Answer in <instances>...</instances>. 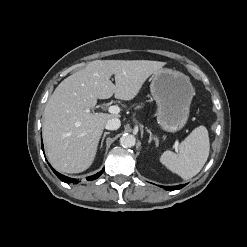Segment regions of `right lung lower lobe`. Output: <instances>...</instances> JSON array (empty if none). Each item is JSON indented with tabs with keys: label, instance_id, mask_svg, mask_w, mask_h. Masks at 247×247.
I'll use <instances>...</instances> for the list:
<instances>
[{
	"label": "right lung lower lobe",
	"instance_id": "right-lung-lower-lobe-1",
	"mask_svg": "<svg viewBox=\"0 0 247 247\" xmlns=\"http://www.w3.org/2000/svg\"><path fill=\"white\" fill-rule=\"evenodd\" d=\"M42 150H44V149H43V143H42ZM50 167H51V166H50ZM51 169H52L53 172L56 174V176H57L61 181L65 182V183H71V182L77 181V179H72V178L66 177V176H64V175H62V174H60V173H58V172L55 171L52 167H51ZM103 171H104V169H103L102 171L98 172V173L95 174V175H92V176L87 177V180H88V181H91V180L97 179V178L103 173Z\"/></svg>",
	"mask_w": 247,
	"mask_h": 247
}]
</instances>
